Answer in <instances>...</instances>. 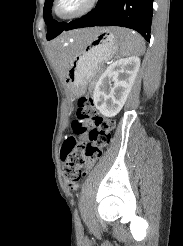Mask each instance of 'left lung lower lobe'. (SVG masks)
I'll return each mask as SVG.
<instances>
[{
    "label": "left lung lower lobe",
    "instance_id": "obj_1",
    "mask_svg": "<svg viewBox=\"0 0 183 246\" xmlns=\"http://www.w3.org/2000/svg\"><path fill=\"white\" fill-rule=\"evenodd\" d=\"M153 0H99L87 15L67 24L63 31L93 26H120L139 32L150 41Z\"/></svg>",
    "mask_w": 183,
    "mask_h": 246
}]
</instances>
